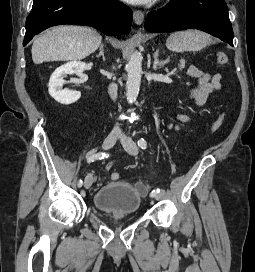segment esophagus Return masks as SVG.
I'll return each instance as SVG.
<instances>
[{
	"instance_id": "1",
	"label": "esophagus",
	"mask_w": 255,
	"mask_h": 272,
	"mask_svg": "<svg viewBox=\"0 0 255 272\" xmlns=\"http://www.w3.org/2000/svg\"><path fill=\"white\" fill-rule=\"evenodd\" d=\"M133 18L137 25H141L144 20V13L140 10H135L133 12Z\"/></svg>"
}]
</instances>
